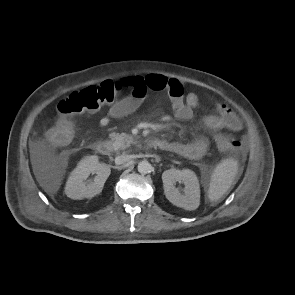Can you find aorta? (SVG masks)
Segmentation results:
<instances>
[{
    "mask_svg": "<svg viewBox=\"0 0 295 295\" xmlns=\"http://www.w3.org/2000/svg\"><path fill=\"white\" fill-rule=\"evenodd\" d=\"M138 172L141 173V174H147L150 172L152 166L151 164L148 162V161H141L139 162L138 164Z\"/></svg>",
    "mask_w": 295,
    "mask_h": 295,
    "instance_id": "1",
    "label": "aorta"
}]
</instances>
